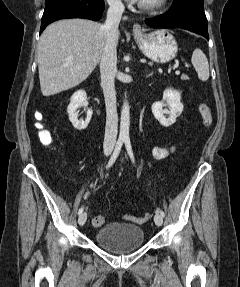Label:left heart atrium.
I'll return each mask as SVG.
<instances>
[{
  "mask_svg": "<svg viewBox=\"0 0 240 287\" xmlns=\"http://www.w3.org/2000/svg\"><path fill=\"white\" fill-rule=\"evenodd\" d=\"M129 1H132V2H141V1H143V0H129Z\"/></svg>",
  "mask_w": 240,
  "mask_h": 287,
  "instance_id": "obj_1",
  "label": "left heart atrium"
}]
</instances>
